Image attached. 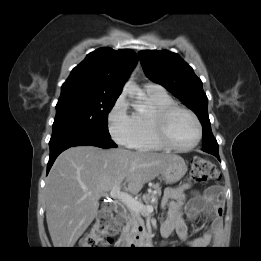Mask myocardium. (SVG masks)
I'll return each mask as SVG.
<instances>
[{
    "label": "myocardium",
    "instance_id": "1",
    "mask_svg": "<svg viewBox=\"0 0 261 261\" xmlns=\"http://www.w3.org/2000/svg\"><path fill=\"white\" fill-rule=\"evenodd\" d=\"M176 111H183L187 113L192 117V119L195 122L197 128V135L194 142H192L188 146H178L174 144L168 136V132H167L168 120L171 117V115ZM151 125L157 142L163 148L172 151H177V152H186L194 149L200 143L203 135L201 122L198 116L195 114V112L183 105H179L175 103L170 104L160 110L153 112L151 115Z\"/></svg>",
    "mask_w": 261,
    "mask_h": 261
}]
</instances>
